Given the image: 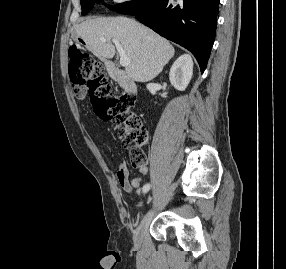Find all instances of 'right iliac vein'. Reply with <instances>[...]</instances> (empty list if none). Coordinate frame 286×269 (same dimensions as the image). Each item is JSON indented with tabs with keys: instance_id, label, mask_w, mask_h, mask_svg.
I'll list each match as a JSON object with an SVG mask.
<instances>
[{
	"instance_id": "63e3f726",
	"label": "right iliac vein",
	"mask_w": 286,
	"mask_h": 269,
	"mask_svg": "<svg viewBox=\"0 0 286 269\" xmlns=\"http://www.w3.org/2000/svg\"><path fill=\"white\" fill-rule=\"evenodd\" d=\"M152 216H153V211L152 210L148 211L145 214V216L143 217V219H142L141 223L139 224V226L137 227V229H136V231L134 233V238H133L134 245L136 247H140L141 246L144 234H145V232L148 229V226L150 224Z\"/></svg>"
}]
</instances>
